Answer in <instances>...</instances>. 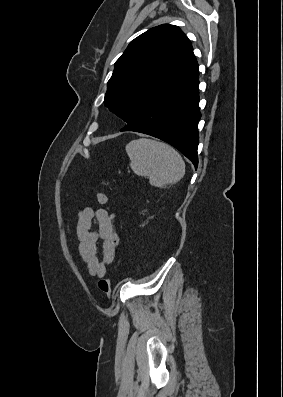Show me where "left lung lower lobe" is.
<instances>
[{"instance_id": "1", "label": "left lung lower lobe", "mask_w": 283, "mask_h": 397, "mask_svg": "<svg viewBox=\"0 0 283 397\" xmlns=\"http://www.w3.org/2000/svg\"><path fill=\"white\" fill-rule=\"evenodd\" d=\"M199 73L169 92L120 131H135L159 138L183 153L198 166Z\"/></svg>"}]
</instances>
